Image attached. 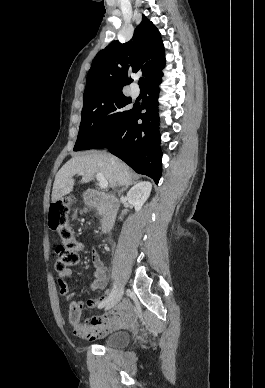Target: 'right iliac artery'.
Instances as JSON below:
<instances>
[{"mask_svg":"<svg viewBox=\"0 0 265 388\" xmlns=\"http://www.w3.org/2000/svg\"><path fill=\"white\" fill-rule=\"evenodd\" d=\"M116 293H117V285L114 284L109 299L104 304L99 305V308H103L116 295Z\"/></svg>","mask_w":265,"mask_h":388,"instance_id":"1","label":"right iliac artery"}]
</instances>
